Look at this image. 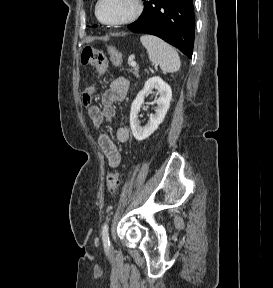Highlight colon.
<instances>
[{
  "label": "colon",
  "instance_id": "1",
  "mask_svg": "<svg viewBox=\"0 0 273 288\" xmlns=\"http://www.w3.org/2000/svg\"><path fill=\"white\" fill-rule=\"evenodd\" d=\"M111 62L118 66L122 62V55L120 51L114 46H108L107 48ZM81 63L84 65L93 66L98 75L105 72L107 67V58L105 53L97 48L90 46L85 47L81 53ZM85 105H89L91 102V89H86L82 95ZM121 185L120 175L118 172H111L107 176L106 187L110 195H115Z\"/></svg>",
  "mask_w": 273,
  "mask_h": 288
}]
</instances>
